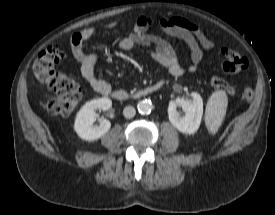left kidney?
<instances>
[{
  "instance_id": "5707ae66",
  "label": "left kidney",
  "mask_w": 275,
  "mask_h": 215,
  "mask_svg": "<svg viewBox=\"0 0 275 215\" xmlns=\"http://www.w3.org/2000/svg\"><path fill=\"white\" fill-rule=\"evenodd\" d=\"M192 100H184L177 98L175 101H170L168 107V115L171 124L180 132L193 134L201 123L203 115V100L197 92L191 93ZM177 105L181 106L184 115H180L177 111Z\"/></svg>"
}]
</instances>
